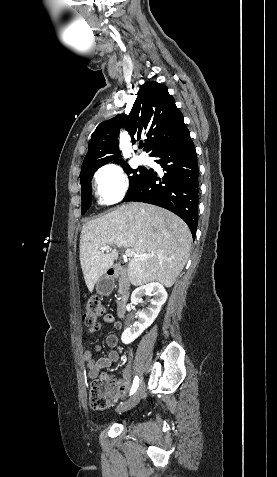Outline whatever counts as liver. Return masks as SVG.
<instances>
[{"label": "liver", "instance_id": "liver-1", "mask_svg": "<svg viewBox=\"0 0 277 477\" xmlns=\"http://www.w3.org/2000/svg\"><path fill=\"white\" fill-rule=\"evenodd\" d=\"M191 243L187 224L172 212L146 203L124 204L82 226L80 263L87 288L92 292L118 258L116 249L101 252L104 244L136 253L127 269L132 285L157 281L169 288L188 260Z\"/></svg>", "mask_w": 277, "mask_h": 477}]
</instances>
